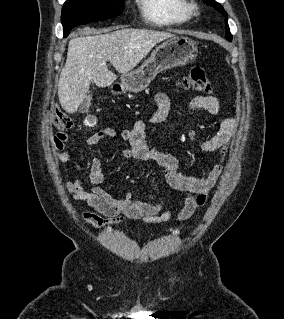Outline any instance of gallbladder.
<instances>
[{"mask_svg": "<svg viewBox=\"0 0 284 319\" xmlns=\"http://www.w3.org/2000/svg\"><path fill=\"white\" fill-rule=\"evenodd\" d=\"M90 105V98L85 99V101L83 102V106L84 107H88Z\"/></svg>", "mask_w": 284, "mask_h": 319, "instance_id": "obj_1", "label": "gallbladder"}]
</instances>
